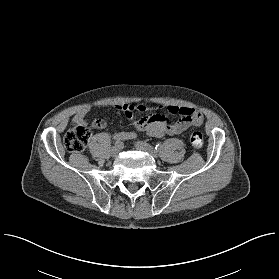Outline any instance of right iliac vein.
Here are the masks:
<instances>
[{"mask_svg": "<svg viewBox=\"0 0 279 279\" xmlns=\"http://www.w3.org/2000/svg\"><path fill=\"white\" fill-rule=\"evenodd\" d=\"M120 152V148L118 146H113L111 149V156L116 157Z\"/></svg>", "mask_w": 279, "mask_h": 279, "instance_id": "right-iliac-vein-1", "label": "right iliac vein"}]
</instances>
